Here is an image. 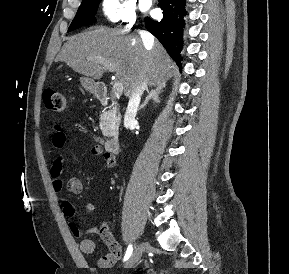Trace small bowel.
Here are the masks:
<instances>
[{
  "label": "small bowel",
  "mask_w": 289,
  "mask_h": 274,
  "mask_svg": "<svg viewBox=\"0 0 289 274\" xmlns=\"http://www.w3.org/2000/svg\"><path fill=\"white\" fill-rule=\"evenodd\" d=\"M74 127L76 130L82 133L85 134L90 133V131L81 123H75ZM67 137H68L67 131L64 129V127L61 125H55L52 136L53 147L55 149L63 148L67 142ZM92 137L97 143L101 142L100 137L95 135H92ZM91 154L94 156H102L104 163L108 168H113L115 166L116 163L115 157L109 152H104L99 144L92 147ZM64 161L65 157L63 155H58L51 165L50 176L52 180L53 190L55 192H60L63 190L65 186L66 190L69 193L79 195L83 192L84 189L81 180H79L78 178H71L66 182V184H64V180L62 177ZM64 213H67L66 209H64ZM69 227L73 235H75L76 237H80L83 234H92L98 232L97 228L95 227H88L84 230H80L73 223H71ZM100 235L103 241L108 246L109 253L102 256L98 260V266L100 268H111L122 256L123 249L110 232L104 233L100 231ZM79 248L82 253L89 255L95 252L96 245L92 239L83 238L79 243Z\"/></svg>",
  "instance_id": "c3829d8e"
}]
</instances>
